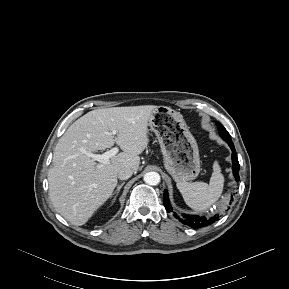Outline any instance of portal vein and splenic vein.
<instances>
[{"instance_id":"obj_1","label":"portal vein and splenic vein","mask_w":289,"mask_h":289,"mask_svg":"<svg viewBox=\"0 0 289 289\" xmlns=\"http://www.w3.org/2000/svg\"><path fill=\"white\" fill-rule=\"evenodd\" d=\"M111 135H116V131H112L110 132ZM119 149L118 147H114L109 151H106L103 154H94L92 152H88L84 149L81 150L82 153L86 154L88 157L92 158L95 161H98L99 163H101L102 165H106L109 163L110 158H112L113 156H115L118 153Z\"/></svg>"}]
</instances>
